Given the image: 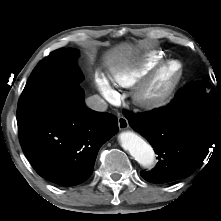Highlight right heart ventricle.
Listing matches in <instances>:
<instances>
[{
    "mask_svg": "<svg viewBox=\"0 0 221 221\" xmlns=\"http://www.w3.org/2000/svg\"><path fill=\"white\" fill-rule=\"evenodd\" d=\"M164 56L161 53L153 52L148 54L139 65L121 69H111V77L115 83L123 87H132L145 78L162 61Z\"/></svg>",
    "mask_w": 221,
    "mask_h": 221,
    "instance_id": "right-heart-ventricle-1",
    "label": "right heart ventricle"
}]
</instances>
